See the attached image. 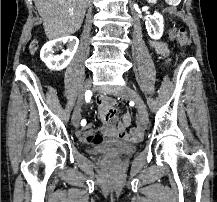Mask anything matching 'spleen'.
Masks as SVG:
<instances>
[{
  "label": "spleen",
  "mask_w": 217,
  "mask_h": 202,
  "mask_svg": "<svg viewBox=\"0 0 217 202\" xmlns=\"http://www.w3.org/2000/svg\"><path fill=\"white\" fill-rule=\"evenodd\" d=\"M166 5H179V0H166Z\"/></svg>",
  "instance_id": "3e777b00"
}]
</instances>
